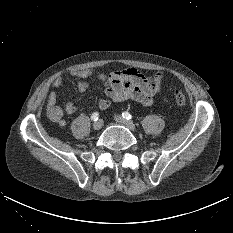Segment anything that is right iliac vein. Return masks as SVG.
I'll return each mask as SVG.
<instances>
[{
    "label": "right iliac vein",
    "mask_w": 233,
    "mask_h": 233,
    "mask_svg": "<svg viewBox=\"0 0 233 233\" xmlns=\"http://www.w3.org/2000/svg\"><path fill=\"white\" fill-rule=\"evenodd\" d=\"M102 126H103V121L99 119L98 121L94 122L93 129L98 131L102 128Z\"/></svg>",
    "instance_id": "1"
}]
</instances>
